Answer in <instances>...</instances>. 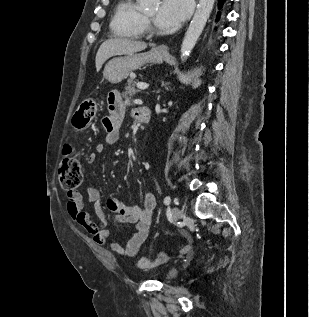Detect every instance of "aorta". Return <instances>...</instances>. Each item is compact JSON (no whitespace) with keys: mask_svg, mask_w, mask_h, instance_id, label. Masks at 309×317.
Returning a JSON list of instances; mask_svg holds the SVG:
<instances>
[{"mask_svg":"<svg viewBox=\"0 0 309 317\" xmlns=\"http://www.w3.org/2000/svg\"><path fill=\"white\" fill-rule=\"evenodd\" d=\"M142 9L155 7L159 0H138ZM215 0H199L195 14L181 45V59L185 61L195 47L213 9Z\"/></svg>","mask_w":309,"mask_h":317,"instance_id":"aorta-1","label":"aorta"}]
</instances>
